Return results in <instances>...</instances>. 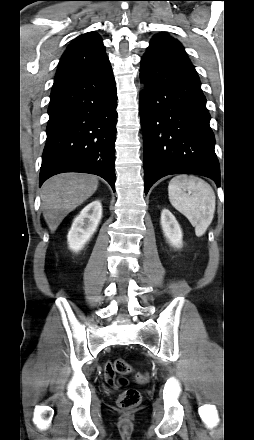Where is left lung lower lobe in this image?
I'll return each mask as SVG.
<instances>
[{
    "label": "left lung lower lobe",
    "instance_id": "0a47b994",
    "mask_svg": "<svg viewBox=\"0 0 254 440\" xmlns=\"http://www.w3.org/2000/svg\"><path fill=\"white\" fill-rule=\"evenodd\" d=\"M139 111L144 134V191L170 174H198L220 184L206 99L192 63L145 53Z\"/></svg>",
    "mask_w": 254,
    "mask_h": 440
}]
</instances>
